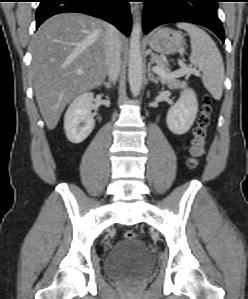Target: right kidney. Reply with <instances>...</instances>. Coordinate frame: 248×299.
<instances>
[{"mask_svg": "<svg viewBox=\"0 0 248 299\" xmlns=\"http://www.w3.org/2000/svg\"><path fill=\"white\" fill-rule=\"evenodd\" d=\"M93 100L91 92L78 95L65 113L64 130L68 140L74 144L83 142L94 129L95 120L91 115Z\"/></svg>", "mask_w": 248, "mask_h": 299, "instance_id": "1", "label": "right kidney"}]
</instances>
